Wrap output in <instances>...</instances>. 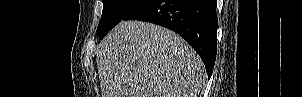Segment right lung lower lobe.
I'll list each match as a JSON object with an SVG mask.
<instances>
[{
	"instance_id": "obj_1",
	"label": "right lung lower lobe",
	"mask_w": 302,
	"mask_h": 97,
	"mask_svg": "<svg viewBox=\"0 0 302 97\" xmlns=\"http://www.w3.org/2000/svg\"><path fill=\"white\" fill-rule=\"evenodd\" d=\"M215 0H143L122 20H140L181 35L201 56L208 77L217 53Z\"/></svg>"
}]
</instances>
